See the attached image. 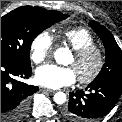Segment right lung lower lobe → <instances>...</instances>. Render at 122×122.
I'll return each instance as SVG.
<instances>
[{
  "label": "right lung lower lobe",
  "instance_id": "98d812e1",
  "mask_svg": "<svg viewBox=\"0 0 122 122\" xmlns=\"http://www.w3.org/2000/svg\"><path fill=\"white\" fill-rule=\"evenodd\" d=\"M30 76L31 67H23L1 57V122H20L24 117L29 96L35 93L38 87L17 79Z\"/></svg>",
  "mask_w": 122,
  "mask_h": 122
}]
</instances>
